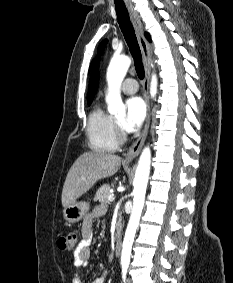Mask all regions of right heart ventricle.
Wrapping results in <instances>:
<instances>
[{
  "label": "right heart ventricle",
  "instance_id": "1",
  "mask_svg": "<svg viewBox=\"0 0 233 283\" xmlns=\"http://www.w3.org/2000/svg\"><path fill=\"white\" fill-rule=\"evenodd\" d=\"M86 134L90 148L99 153L114 152L119 145L115 119L101 105L91 111Z\"/></svg>",
  "mask_w": 233,
  "mask_h": 283
}]
</instances>
